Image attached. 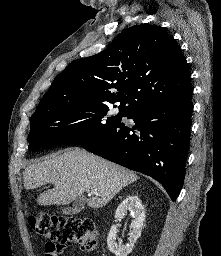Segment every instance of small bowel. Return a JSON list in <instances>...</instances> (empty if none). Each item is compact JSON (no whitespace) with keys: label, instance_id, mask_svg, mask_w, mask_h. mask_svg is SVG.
Instances as JSON below:
<instances>
[{"label":"small bowel","instance_id":"small-bowel-1","mask_svg":"<svg viewBox=\"0 0 221 256\" xmlns=\"http://www.w3.org/2000/svg\"><path fill=\"white\" fill-rule=\"evenodd\" d=\"M45 256H55V255L52 254V253H49V252L45 251Z\"/></svg>","mask_w":221,"mask_h":256}]
</instances>
